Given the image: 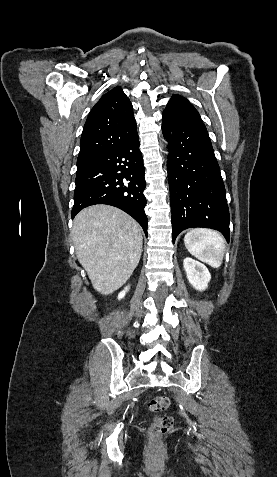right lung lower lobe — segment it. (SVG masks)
I'll use <instances>...</instances> for the list:
<instances>
[{"label":"right lung lower lobe","instance_id":"1","mask_svg":"<svg viewBox=\"0 0 277 477\" xmlns=\"http://www.w3.org/2000/svg\"><path fill=\"white\" fill-rule=\"evenodd\" d=\"M137 132L124 143L77 165L72 218L83 208L108 204L131 215L147 236L146 187Z\"/></svg>","mask_w":277,"mask_h":477}]
</instances>
